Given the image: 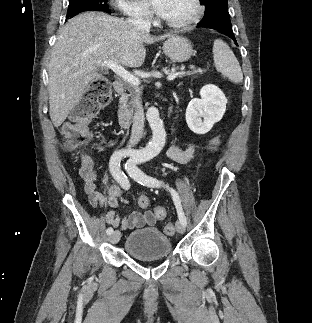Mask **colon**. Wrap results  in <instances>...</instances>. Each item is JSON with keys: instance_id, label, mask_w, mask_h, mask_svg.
<instances>
[{"instance_id": "5ec220e1", "label": "colon", "mask_w": 312, "mask_h": 323, "mask_svg": "<svg viewBox=\"0 0 312 323\" xmlns=\"http://www.w3.org/2000/svg\"><path fill=\"white\" fill-rule=\"evenodd\" d=\"M111 100V85L106 77H98L90 82L87 90L82 94L80 105L72 112V118L69 123L64 126V145L68 151L79 152L88 143L91 138V131L88 128L93 117L98 113L99 109ZM220 142V136L212 139V147L216 148ZM84 168H89L91 163L84 161ZM139 207L146 209L150 205V199L142 196L138 200ZM156 213L160 219L166 216L165 206H156ZM163 231L172 235L175 233V226L171 222L163 224Z\"/></svg>"}]
</instances>
